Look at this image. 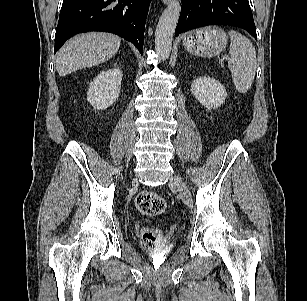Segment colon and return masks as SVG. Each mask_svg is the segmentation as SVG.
<instances>
[{"label":"colon","instance_id":"1","mask_svg":"<svg viewBox=\"0 0 307 301\" xmlns=\"http://www.w3.org/2000/svg\"><path fill=\"white\" fill-rule=\"evenodd\" d=\"M165 200L154 191H142L136 198V207L146 216H156L165 209ZM141 243L151 253L158 252L162 247V233L155 227H144L141 230Z\"/></svg>","mask_w":307,"mask_h":301}]
</instances>
